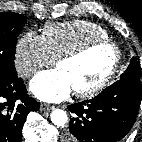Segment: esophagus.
<instances>
[{
  "label": "esophagus",
  "instance_id": "1",
  "mask_svg": "<svg viewBox=\"0 0 142 142\" xmlns=\"http://www.w3.org/2000/svg\"><path fill=\"white\" fill-rule=\"evenodd\" d=\"M55 106L49 105V104H41L40 105V110L45 111V110H52L54 109Z\"/></svg>",
  "mask_w": 142,
  "mask_h": 142
}]
</instances>
